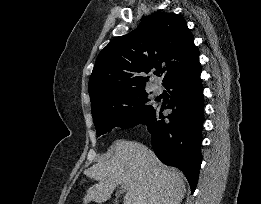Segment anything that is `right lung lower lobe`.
<instances>
[{"mask_svg": "<svg viewBox=\"0 0 261 204\" xmlns=\"http://www.w3.org/2000/svg\"><path fill=\"white\" fill-rule=\"evenodd\" d=\"M200 74L198 59L167 81L164 86L171 89L169 104L154 108L141 122L151 134L156 156L164 164L184 172L192 193L202 162L200 143L204 102ZM164 109H172L173 112L165 118L162 114Z\"/></svg>", "mask_w": 261, "mask_h": 204, "instance_id": "obj_1", "label": "right lung lower lobe"}]
</instances>
